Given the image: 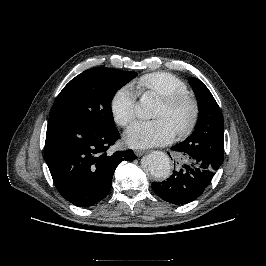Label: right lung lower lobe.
<instances>
[{"label":"right lung lower lobe","mask_w":266,"mask_h":266,"mask_svg":"<svg viewBox=\"0 0 266 266\" xmlns=\"http://www.w3.org/2000/svg\"><path fill=\"white\" fill-rule=\"evenodd\" d=\"M115 128L62 118L48 121L44 159L59 193L78 207L103 200L118 164L137 157L132 150L107 152L119 139Z\"/></svg>","instance_id":"obj_1"}]
</instances>
